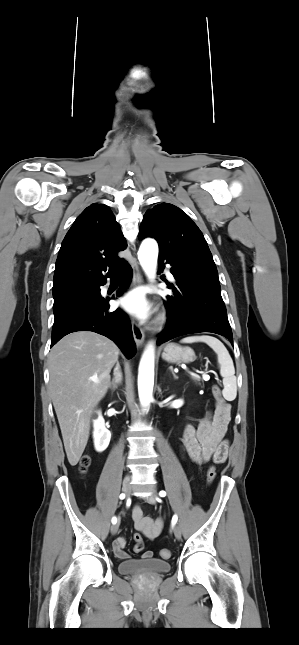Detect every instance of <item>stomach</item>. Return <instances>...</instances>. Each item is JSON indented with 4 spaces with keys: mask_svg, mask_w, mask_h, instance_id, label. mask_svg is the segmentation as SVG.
Returning a JSON list of instances; mask_svg holds the SVG:
<instances>
[{
    "mask_svg": "<svg viewBox=\"0 0 299 645\" xmlns=\"http://www.w3.org/2000/svg\"><path fill=\"white\" fill-rule=\"evenodd\" d=\"M194 351L189 347H182L174 343L165 346L162 358L169 363H189L194 360Z\"/></svg>",
    "mask_w": 299,
    "mask_h": 645,
    "instance_id": "stomach-1",
    "label": "stomach"
}]
</instances>
